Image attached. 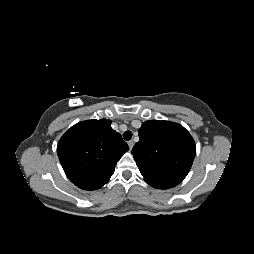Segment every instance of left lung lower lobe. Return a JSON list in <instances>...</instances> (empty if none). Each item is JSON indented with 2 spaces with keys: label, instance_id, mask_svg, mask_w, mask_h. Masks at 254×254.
Wrapping results in <instances>:
<instances>
[{
  "label": "left lung lower lobe",
  "instance_id": "left-lung-lower-lobe-1",
  "mask_svg": "<svg viewBox=\"0 0 254 254\" xmlns=\"http://www.w3.org/2000/svg\"><path fill=\"white\" fill-rule=\"evenodd\" d=\"M159 189H167V188H159Z\"/></svg>",
  "mask_w": 254,
  "mask_h": 254
}]
</instances>
